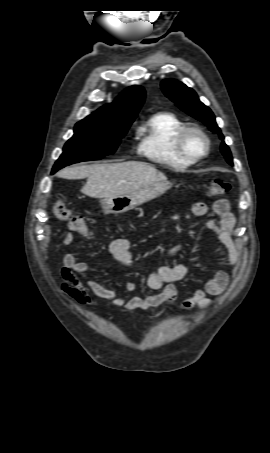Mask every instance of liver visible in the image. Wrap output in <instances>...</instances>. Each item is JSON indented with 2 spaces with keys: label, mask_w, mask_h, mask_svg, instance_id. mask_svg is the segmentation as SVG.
Here are the masks:
<instances>
[{
  "label": "liver",
  "mask_w": 270,
  "mask_h": 453,
  "mask_svg": "<svg viewBox=\"0 0 270 453\" xmlns=\"http://www.w3.org/2000/svg\"><path fill=\"white\" fill-rule=\"evenodd\" d=\"M64 179L88 178L81 192L92 198H111L129 194L166 176L155 167L137 161L66 167L57 173Z\"/></svg>",
  "instance_id": "liver-1"
}]
</instances>
